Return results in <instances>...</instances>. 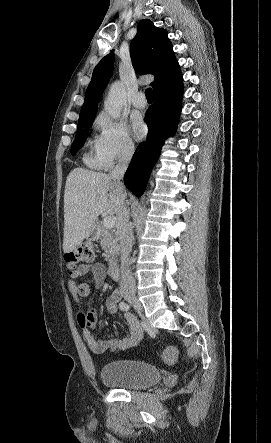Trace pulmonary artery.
<instances>
[{
    "instance_id": "1",
    "label": "pulmonary artery",
    "mask_w": 271,
    "mask_h": 443,
    "mask_svg": "<svg viewBox=\"0 0 271 443\" xmlns=\"http://www.w3.org/2000/svg\"><path fill=\"white\" fill-rule=\"evenodd\" d=\"M134 107L139 108V109H143L147 106V99L146 96L143 92H138L136 93V95L133 98L132 101Z\"/></svg>"
}]
</instances>
